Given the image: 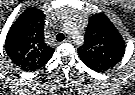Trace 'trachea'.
<instances>
[{
  "label": "trachea",
  "instance_id": "trachea-1",
  "mask_svg": "<svg viewBox=\"0 0 135 95\" xmlns=\"http://www.w3.org/2000/svg\"><path fill=\"white\" fill-rule=\"evenodd\" d=\"M65 39V35L63 34V33H59V34H57V36H56V40L57 41H63Z\"/></svg>",
  "mask_w": 135,
  "mask_h": 95
}]
</instances>
